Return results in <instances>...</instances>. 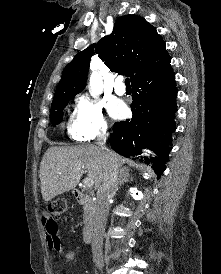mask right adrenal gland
Segmentation results:
<instances>
[{"instance_id": "2a0ac1e0", "label": "right adrenal gland", "mask_w": 221, "mask_h": 274, "mask_svg": "<svg viewBox=\"0 0 221 274\" xmlns=\"http://www.w3.org/2000/svg\"><path fill=\"white\" fill-rule=\"evenodd\" d=\"M129 179L133 181V177L130 175L129 169L126 167L121 168L119 173V185H122L124 182L129 181Z\"/></svg>"}]
</instances>
